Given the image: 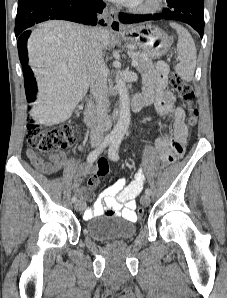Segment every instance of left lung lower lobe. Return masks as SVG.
I'll use <instances>...</instances> for the list:
<instances>
[{
    "mask_svg": "<svg viewBox=\"0 0 227 298\" xmlns=\"http://www.w3.org/2000/svg\"><path fill=\"white\" fill-rule=\"evenodd\" d=\"M168 8L160 14L129 15L119 13V20L124 24L150 20H177L191 25L201 36L204 32L203 0H167Z\"/></svg>",
    "mask_w": 227,
    "mask_h": 298,
    "instance_id": "left-lung-lower-lobe-1",
    "label": "left lung lower lobe"
}]
</instances>
